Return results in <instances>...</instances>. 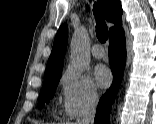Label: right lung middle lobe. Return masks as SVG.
<instances>
[{
    "mask_svg": "<svg viewBox=\"0 0 156 124\" xmlns=\"http://www.w3.org/2000/svg\"><path fill=\"white\" fill-rule=\"evenodd\" d=\"M61 74H56L54 76H49L44 78V85L42 87L38 107L42 108L46 102H49L51 98H53L55 94L56 87L59 83Z\"/></svg>",
    "mask_w": 156,
    "mask_h": 124,
    "instance_id": "right-lung-middle-lobe-1",
    "label": "right lung middle lobe"
}]
</instances>
